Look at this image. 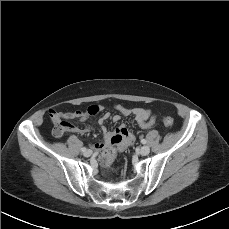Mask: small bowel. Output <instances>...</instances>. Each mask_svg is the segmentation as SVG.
Here are the masks:
<instances>
[{"instance_id": "obj_1", "label": "small bowel", "mask_w": 229, "mask_h": 229, "mask_svg": "<svg viewBox=\"0 0 229 229\" xmlns=\"http://www.w3.org/2000/svg\"><path fill=\"white\" fill-rule=\"evenodd\" d=\"M116 109L123 116L132 115L134 117L136 124L142 129H148L155 124V119L151 116L150 111L147 109L137 107L127 108L122 105H117ZM65 116L68 118L81 120H86L88 117L86 111H74L71 113H67ZM109 117L110 115L108 113L103 114L99 119V124L103 125ZM112 120L114 122H118L120 120V115H114L112 117ZM70 130L75 133L84 134L89 131V128H79L76 126H70ZM101 131L104 137V142L95 144L94 148L96 149H105L106 147H108L111 144L112 138L117 134L124 136L123 143L127 145L132 144L135 140L134 134L130 132L128 128L124 125H121L119 128H117L114 133L108 131L104 126H102Z\"/></svg>"}]
</instances>
